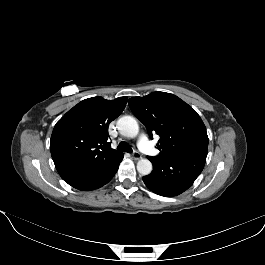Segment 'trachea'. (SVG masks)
Instances as JSON below:
<instances>
[{"mask_svg": "<svg viewBox=\"0 0 265 265\" xmlns=\"http://www.w3.org/2000/svg\"><path fill=\"white\" fill-rule=\"evenodd\" d=\"M118 150L120 151H124V152H128V153H131L132 152V148L130 145H128L126 142L122 141L119 143L118 147H117Z\"/></svg>", "mask_w": 265, "mask_h": 265, "instance_id": "obj_1", "label": "trachea"}]
</instances>
